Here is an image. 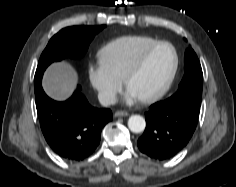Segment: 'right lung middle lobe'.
I'll return each mask as SVG.
<instances>
[{"label":"right lung middle lobe","instance_id":"dd1d6c3e","mask_svg":"<svg viewBox=\"0 0 236 187\" xmlns=\"http://www.w3.org/2000/svg\"><path fill=\"white\" fill-rule=\"evenodd\" d=\"M105 26L67 27L54 35L40 56L34 78V87L41 83L45 69L54 61L82 57L94 36Z\"/></svg>","mask_w":236,"mask_h":187}]
</instances>
